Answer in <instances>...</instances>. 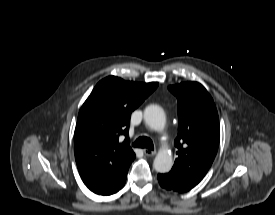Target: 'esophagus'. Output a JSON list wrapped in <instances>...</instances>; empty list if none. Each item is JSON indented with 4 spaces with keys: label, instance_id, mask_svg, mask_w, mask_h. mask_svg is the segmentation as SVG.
<instances>
[{
    "label": "esophagus",
    "instance_id": "34e87169",
    "mask_svg": "<svg viewBox=\"0 0 275 215\" xmlns=\"http://www.w3.org/2000/svg\"><path fill=\"white\" fill-rule=\"evenodd\" d=\"M143 152L146 156H154L156 154V151L149 150V149H143Z\"/></svg>",
    "mask_w": 275,
    "mask_h": 215
}]
</instances>
